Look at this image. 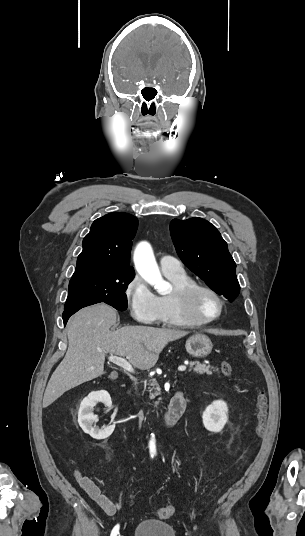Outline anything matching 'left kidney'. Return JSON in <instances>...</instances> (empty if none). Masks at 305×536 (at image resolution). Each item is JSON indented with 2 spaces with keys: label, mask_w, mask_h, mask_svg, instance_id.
I'll list each match as a JSON object with an SVG mask.
<instances>
[{
  "label": "left kidney",
  "mask_w": 305,
  "mask_h": 536,
  "mask_svg": "<svg viewBox=\"0 0 305 536\" xmlns=\"http://www.w3.org/2000/svg\"><path fill=\"white\" fill-rule=\"evenodd\" d=\"M227 412V404L222 400H216V402H212L210 406H207L202 416L206 430H209V432H221L228 420Z\"/></svg>",
  "instance_id": "1"
}]
</instances>
